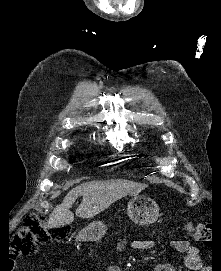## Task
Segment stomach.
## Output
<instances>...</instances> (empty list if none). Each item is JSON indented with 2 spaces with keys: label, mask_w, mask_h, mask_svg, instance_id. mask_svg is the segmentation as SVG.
<instances>
[{
  "label": "stomach",
  "mask_w": 221,
  "mask_h": 271,
  "mask_svg": "<svg viewBox=\"0 0 221 271\" xmlns=\"http://www.w3.org/2000/svg\"><path fill=\"white\" fill-rule=\"evenodd\" d=\"M154 200V197H134L128 203V215L138 225L153 223L157 217V213H160V208H156L158 207V202H154ZM104 233H106V225H103L101 221H91L85 230H79L76 237L97 241Z\"/></svg>",
  "instance_id": "stomach-1"
}]
</instances>
